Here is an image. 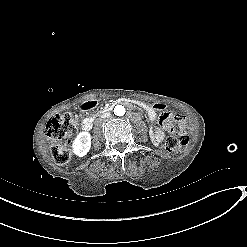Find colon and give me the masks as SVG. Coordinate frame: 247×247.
I'll return each mask as SVG.
<instances>
[{
    "mask_svg": "<svg viewBox=\"0 0 247 247\" xmlns=\"http://www.w3.org/2000/svg\"><path fill=\"white\" fill-rule=\"evenodd\" d=\"M153 108L157 112L163 113L167 106L162 101H155ZM79 119L77 113H68L55 115L46 124V137L51 143V153L58 165L67 164L71 158L67 140L76 130ZM173 131V134L168 135L165 139V145L169 151H175L188 144V137L182 126L173 128Z\"/></svg>",
    "mask_w": 247,
    "mask_h": 247,
    "instance_id": "obj_1",
    "label": "colon"
}]
</instances>
